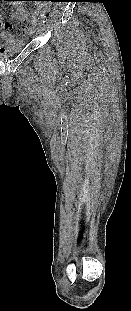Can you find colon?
Returning <instances> with one entry per match:
<instances>
[{
  "instance_id": "obj_1",
  "label": "colon",
  "mask_w": 131,
  "mask_h": 311,
  "mask_svg": "<svg viewBox=\"0 0 131 311\" xmlns=\"http://www.w3.org/2000/svg\"><path fill=\"white\" fill-rule=\"evenodd\" d=\"M0 23H1V20H0ZM31 27H32V25L29 23H22V25H21L22 30H29Z\"/></svg>"
}]
</instances>
